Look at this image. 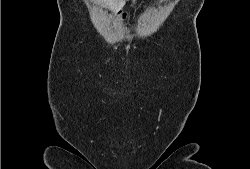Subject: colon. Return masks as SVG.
Returning a JSON list of instances; mask_svg holds the SVG:
<instances>
[{"label":"colon","mask_w":250,"mask_h":169,"mask_svg":"<svg viewBox=\"0 0 250 169\" xmlns=\"http://www.w3.org/2000/svg\"><path fill=\"white\" fill-rule=\"evenodd\" d=\"M118 15L120 16V18H121L122 20H124V19L126 18V13L123 12L122 10H120V11L118 12Z\"/></svg>","instance_id":"colon-1"}]
</instances>
